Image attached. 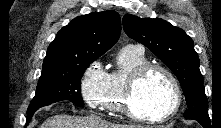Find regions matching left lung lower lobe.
Here are the masks:
<instances>
[{"instance_id":"obj_1","label":"left lung lower lobe","mask_w":221,"mask_h":128,"mask_svg":"<svg viewBox=\"0 0 221 128\" xmlns=\"http://www.w3.org/2000/svg\"><path fill=\"white\" fill-rule=\"evenodd\" d=\"M204 128H211V121L197 120Z\"/></svg>"}]
</instances>
